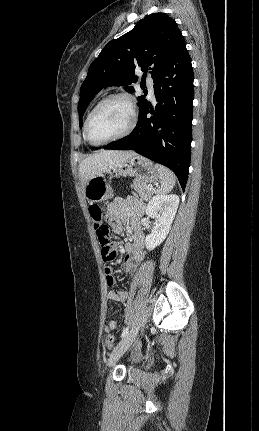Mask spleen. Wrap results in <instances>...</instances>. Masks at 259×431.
Returning a JSON list of instances; mask_svg holds the SVG:
<instances>
[{"label":"spleen","instance_id":"obj_1","mask_svg":"<svg viewBox=\"0 0 259 431\" xmlns=\"http://www.w3.org/2000/svg\"><path fill=\"white\" fill-rule=\"evenodd\" d=\"M160 179L159 192L162 194L169 193L175 186L176 178L171 170L163 165H155Z\"/></svg>","mask_w":259,"mask_h":431}]
</instances>
